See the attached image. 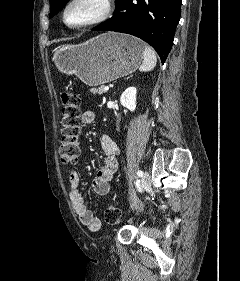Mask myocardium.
<instances>
[{
	"instance_id": "f54148a6",
	"label": "myocardium",
	"mask_w": 240,
	"mask_h": 281,
	"mask_svg": "<svg viewBox=\"0 0 240 281\" xmlns=\"http://www.w3.org/2000/svg\"><path fill=\"white\" fill-rule=\"evenodd\" d=\"M78 1L79 0H69L62 9V23L70 29H80L102 23L103 21L107 20L112 13V0H100L99 2L101 4V8L94 17L82 23L69 24L66 19L67 13L69 9Z\"/></svg>"
}]
</instances>
